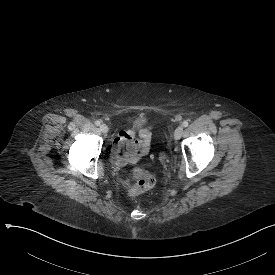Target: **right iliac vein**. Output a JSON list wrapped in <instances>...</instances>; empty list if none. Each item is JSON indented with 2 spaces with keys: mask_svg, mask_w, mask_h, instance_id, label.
<instances>
[{
  "mask_svg": "<svg viewBox=\"0 0 275 275\" xmlns=\"http://www.w3.org/2000/svg\"><path fill=\"white\" fill-rule=\"evenodd\" d=\"M100 130L103 132V133H107L108 132V126L106 124H102L100 126Z\"/></svg>",
  "mask_w": 275,
  "mask_h": 275,
  "instance_id": "1",
  "label": "right iliac vein"
}]
</instances>
